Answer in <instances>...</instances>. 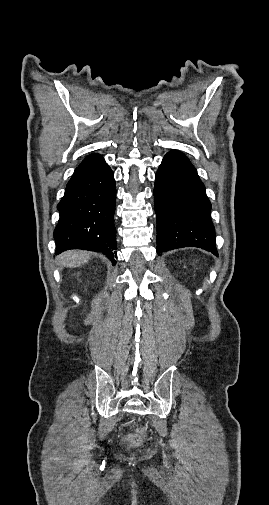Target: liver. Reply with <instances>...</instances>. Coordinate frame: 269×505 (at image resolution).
Segmentation results:
<instances>
[{"instance_id":"6515ba94","label":"liver","mask_w":269,"mask_h":505,"mask_svg":"<svg viewBox=\"0 0 269 505\" xmlns=\"http://www.w3.org/2000/svg\"><path fill=\"white\" fill-rule=\"evenodd\" d=\"M90 254L85 251H67L57 257V263L64 267L75 268L87 263Z\"/></svg>"}]
</instances>
